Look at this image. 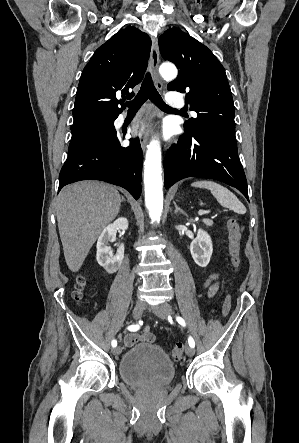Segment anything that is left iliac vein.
Wrapping results in <instances>:
<instances>
[{"mask_svg":"<svg viewBox=\"0 0 299 443\" xmlns=\"http://www.w3.org/2000/svg\"><path fill=\"white\" fill-rule=\"evenodd\" d=\"M149 309L156 316H158L159 318H162V319H167L173 313L172 307L168 303H163V304H160L155 307H150ZM185 352L189 357H191L194 355L195 351H194V348L187 345L185 348Z\"/></svg>","mask_w":299,"mask_h":443,"instance_id":"4c4485c4","label":"left iliac vein"}]
</instances>
